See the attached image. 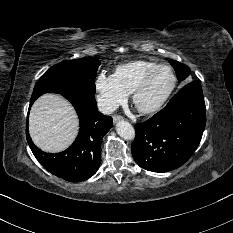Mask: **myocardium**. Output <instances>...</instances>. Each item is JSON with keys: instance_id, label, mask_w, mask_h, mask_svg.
<instances>
[{"instance_id": "obj_1", "label": "myocardium", "mask_w": 233, "mask_h": 233, "mask_svg": "<svg viewBox=\"0 0 233 233\" xmlns=\"http://www.w3.org/2000/svg\"><path fill=\"white\" fill-rule=\"evenodd\" d=\"M161 69H167L170 71L171 75H172V82L170 87L168 88V90L166 91V93L163 95V97L152 107L149 108H140L137 105V100L139 95L142 93V91L147 87L149 81L151 80V78ZM177 84V77L176 74L174 72V70L168 66V65H158L157 67H155L154 69H152L151 71H149L143 78L142 80L137 84V86L134 88L133 92H132V103L133 105L136 107V109L143 115H152V114H156L157 112H159L167 103V101L169 100L170 96L172 95L175 87Z\"/></svg>"}]
</instances>
